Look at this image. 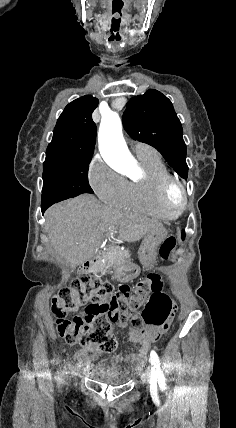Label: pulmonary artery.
Returning <instances> with one entry per match:
<instances>
[{
    "label": "pulmonary artery",
    "mask_w": 236,
    "mask_h": 428,
    "mask_svg": "<svg viewBox=\"0 0 236 428\" xmlns=\"http://www.w3.org/2000/svg\"><path fill=\"white\" fill-rule=\"evenodd\" d=\"M141 146H142V144L135 146V150L141 149L142 148Z\"/></svg>",
    "instance_id": "pulmonary-artery-1"
}]
</instances>
